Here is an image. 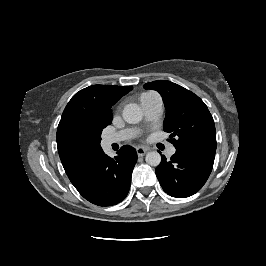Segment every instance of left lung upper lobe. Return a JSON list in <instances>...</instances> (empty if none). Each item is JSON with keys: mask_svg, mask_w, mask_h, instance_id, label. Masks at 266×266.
Here are the masks:
<instances>
[{"mask_svg": "<svg viewBox=\"0 0 266 266\" xmlns=\"http://www.w3.org/2000/svg\"><path fill=\"white\" fill-rule=\"evenodd\" d=\"M144 88L162 96L166 108L164 131L171 133L170 142L176 150L216 151L214 120L197 95L166 80L146 83Z\"/></svg>", "mask_w": 266, "mask_h": 266, "instance_id": "1", "label": "left lung upper lobe"}]
</instances>
